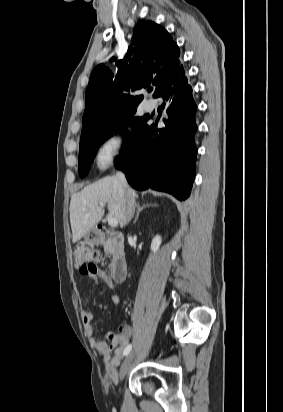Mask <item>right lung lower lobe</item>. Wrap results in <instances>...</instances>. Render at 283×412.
<instances>
[{
  "label": "right lung lower lobe",
  "mask_w": 283,
  "mask_h": 412,
  "mask_svg": "<svg viewBox=\"0 0 283 412\" xmlns=\"http://www.w3.org/2000/svg\"><path fill=\"white\" fill-rule=\"evenodd\" d=\"M158 97L163 98L167 108L165 128L149 125V116L116 166L125 170L133 188H152L184 200L190 195L195 176L197 105L187 78L181 84L165 87Z\"/></svg>",
  "instance_id": "98d812e1"
}]
</instances>
